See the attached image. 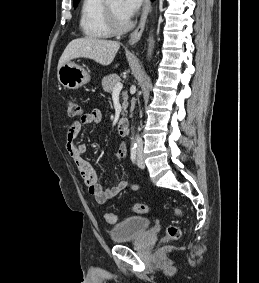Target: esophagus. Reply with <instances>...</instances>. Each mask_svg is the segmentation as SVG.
I'll use <instances>...</instances> for the list:
<instances>
[{
  "label": "esophagus",
  "mask_w": 259,
  "mask_h": 283,
  "mask_svg": "<svg viewBox=\"0 0 259 283\" xmlns=\"http://www.w3.org/2000/svg\"><path fill=\"white\" fill-rule=\"evenodd\" d=\"M150 10H151V1L144 0L139 24L137 28L131 33L130 38H129L130 45H134L140 40L143 30L145 28L146 20H147Z\"/></svg>",
  "instance_id": "obj_1"
}]
</instances>
